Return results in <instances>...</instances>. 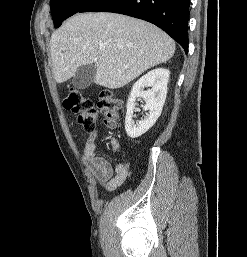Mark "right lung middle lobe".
I'll return each mask as SVG.
<instances>
[{
	"instance_id": "1",
	"label": "right lung middle lobe",
	"mask_w": 247,
	"mask_h": 257,
	"mask_svg": "<svg viewBox=\"0 0 247 257\" xmlns=\"http://www.w3.org/2000/svg\"><path fill=\"white\" fill-rule=\"evenodd\" d=\"M91 0H51L50 8L54 27L58 28L68 17L79 12Z\"/></svg>"
}]
</instances>
